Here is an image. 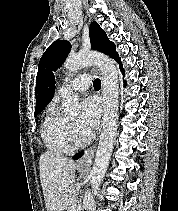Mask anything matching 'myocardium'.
Listing matches in <instances>:
<instances>
[{"mask_svg": "<svg viewBox=\"0 0 178 211\" xmlns=\"http://www.w3.org/2000/svg\"><path fill=\"white\" fill-rule=\"evenodd\" d=\"M67 140L73 149H77L85 146L88 143L89 138L86 136L85 138L80 139L74 125L67 120Z\"/></svg>", "mask_w": 178, "mask_h": 211, "instance_id": "myocardium-1", "label": "myocardium"}]
</instances>
